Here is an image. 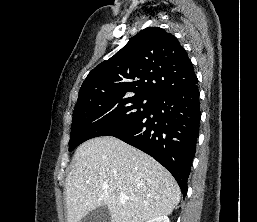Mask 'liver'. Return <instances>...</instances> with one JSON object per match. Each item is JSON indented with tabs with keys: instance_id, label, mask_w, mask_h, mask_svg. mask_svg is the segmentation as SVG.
I'll list each match as a JSON object with an SVG mask.
<instances>
[{
	"instance_id": "1",
	"label": "liver",
	"mask_w": 257,
	"mask_h": 222,
	"mask_svg": "<svg viewBox=\"0 0 257 222\" xmlns=\"http://www.w3.org/2000/svg\"><path fill=\"white\" fill-rule=\"evenodd\" d=\"M120 193L133 199L121 201ZM67 222H79L107 206L111 222H146L170 215L181 192L173 176L155 159L114 137L80 145L65 183Z\"/></svg>"
}]
</instances>
